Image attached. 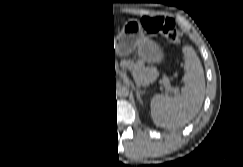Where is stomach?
Masks as SVG:
<instances>
[{
  "instance_id": "1",
  "label": "stomach",
  "mask_w": 243,
  "mask_h": 167,
  "mask_svg": "<svg viewBox=\"0 0 243 167\" xmlns=\"http://www.w3.org/2000/svg\"><path fill=\"white\" fill-rule=\"evenodd\" d=\"M116 52L120 56H127L138 50V56L148 63H160L163 52L159 45L144 35L140 21L130 20L123 26L117 36Z\"/></svg>"
}]
</instances>
